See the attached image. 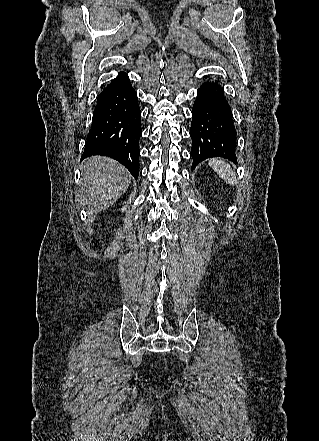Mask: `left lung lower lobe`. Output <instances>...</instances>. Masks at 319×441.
<instances>
[{"instance_id": "0a47b994", "label": "left lung lower lobe", "mask_w": 319, "mask_h": 441, "mask_svg": "<svg viewBox=\"0 0 319 441\" xmlns=\"http://www.w3.org/2000/svg\"><path fill=\"white\" fill-rule=\"evenodd\" d=\"M192 169L199 162L223 157L236 162V128L224 89L215 82L203 83L192 108L190 128Z\"/></svg>"}]
</instances>
